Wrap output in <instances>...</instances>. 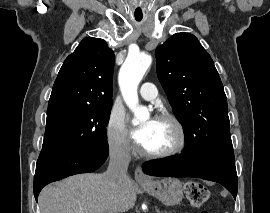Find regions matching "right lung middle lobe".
Wrapping results in <instances>:
<instances>
[{
    "label": "right lung middle lobe",
    "mask_w": 270,
    "mask_h": 213,
    "mask_svg": "<svg viewBox=\"0 0 270 213\" xmlns=\"http://www.w3.org/2000/svg\"><path fill=\"white\" fill-rule=\"evenodd\" d=\"M111 107L59 106L47 110L42 151L80 150L107 144Z\"/></svg>",
    "instance_id": "right-lung-middle-lobe-1"
}]
</instances>
